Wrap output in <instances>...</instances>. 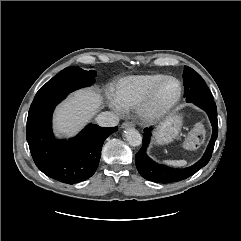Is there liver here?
<instances>
[{"mask_svg": "<svg viewBox=\"0 0 241 241\" xmlns=\"http://www.w3.org/2000/svg\"><path fill=\"white\" fill-rule=\"evenodd\" d=\"M103 97L93 89L74 92L54 114V128L58 135L73 136L102 107Z\"/></svg>", "mask_w": 241, "mask_h": 241, "instance_id": "6515ba94", "label": "liver"}]
</instances>
